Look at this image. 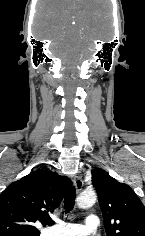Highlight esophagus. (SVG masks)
<instances>
[{
	"label": "esophagus",
	"mask_w": 145,
	"mask_h": 236,
	"mask_svg": "<svg viewBox=\"0 0 145 236\" xmlns=\"http://www.w3.org/2000/svg\"><path fill=\"white\" fill-rule=\"evenodd\" d=\"M73 183H74V185H75L77 191H80V190L82 189V187H83V181H82L81 177H79V176L76 175V176L74 177V179H73Z\"/></svg>",
	"instance_id": "esophagus-1"
}]
</instances>
